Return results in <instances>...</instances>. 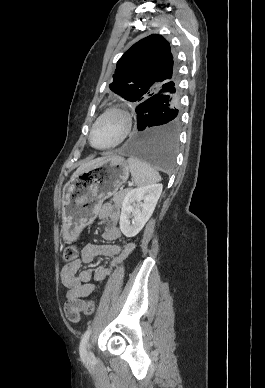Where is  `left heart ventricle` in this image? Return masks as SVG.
<instances>
[{
	"label": "left heart ventricle",
	"mask_w": 265,
	"mask_h": 388,
	"mask_svg": "<svg viewBox=\"0 0 265 388\" xmlns=\"http://www.w3.org/2000/svg\"><path fill=\"white\" fill-rule=\"evenodd\" d=\"M121 118L115 114L104 117L96 126L93 133V142L98 146L113 143L120 132Z\"/></svg>",
	"instance_id": "obj_1"
}]
</instances>
